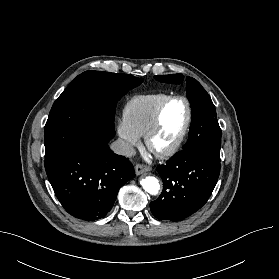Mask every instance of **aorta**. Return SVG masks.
<instances>
[{
  "mask_svg": "<svg viewBox=\"0 0 279 279\" xmlns=\"http://www.w3.org/2000/svg\"><path fill=\"white\" fill-rule=\"evenodd\" d=\"M143 189L151 195L158 194L160 190V184L156 177L146 176L140 181Z\"/></svg>",
  "mask_w": 279,
  "mask_h": 279,
  "instance_id": "obj_1",
  "label": "aorta"
}]
</instances>
